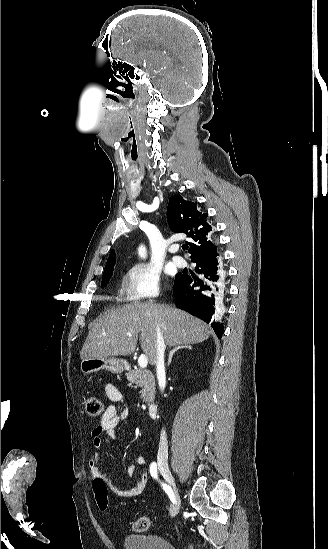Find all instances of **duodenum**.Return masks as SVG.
<instances>
[{"label":"duodenum","mask_w":328,"mask_h":549,"mask_svg":"<svg viewBox=\"0 0 328 549\" xmlns=\"http://www.w3.org/2000/svg\"><path fill=\"white\" fill-rule=\"evenodd\" d=\"M147 410L151 417H156L158 413V406L155 403H151L148 405Z\"/></svg>","instance_id":"duodenum-1"}]
</instances>
